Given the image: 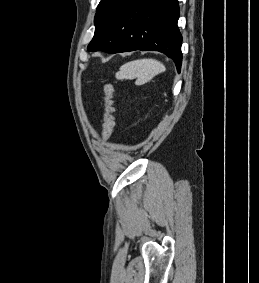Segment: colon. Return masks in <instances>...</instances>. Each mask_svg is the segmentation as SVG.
<instances>
[{"instance_id": "colon-1", "label": "colon", "mask_w": 259, "mask_h": 283, "mask_svg": "<svg viewBox=\"0 0 259 283\" xmlns=\"http://www.w3.org/2000/svg\"><path fill=\"white\" fill-rule=\"evenodd\" d=\"M104 99H105V119L102 128V135L105 139H108L116 127V115H115V88L111 83H105L103 85Z\"/></svg>"}]
</instances>
